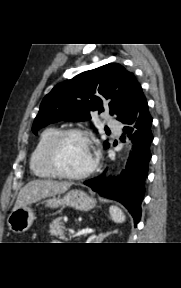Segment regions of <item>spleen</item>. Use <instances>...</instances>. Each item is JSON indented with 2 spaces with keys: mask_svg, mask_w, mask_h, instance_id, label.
I'll list each match as a JSON object with an SVG mask.
<instances>
[{
  "mask_svg": "<svg viewBox=\"0 0 181 288\" xmlns=\"http://www.w3.org/2000/svg\"><path fill=\"white\" fill-rule=\"evenodd\" d=\"M109 213H110L111 219L115 223H123L126 219L123 211L117 206H114V205L110 206Z\"/></svg>",
  "mask_w": 181,
  "mask_h": 288,
  "instance_id": "1",
  "label": "spleen"
}]
</instances>
